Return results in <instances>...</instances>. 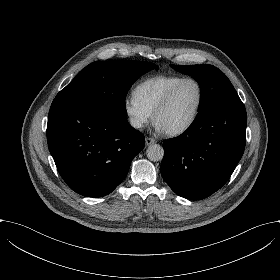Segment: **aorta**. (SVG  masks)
Wrapping results in <instances>:
<instances>
[{
  "label": "aorta",
  "instance_id": "obj_1",
  "mask_svg": "<svg viewBox=\"0 0 280 280\" xmlns=\"http://www.w3.org/2000/svg\"><path fill=\"white\" fill-rule=\"evenodd\" d=\"M146 153L150 161H160L163 159L164 149L159 144H153L147 148Z\"/></svg>",
  "mask_w": 280,
  "mask_h": 280
}]
</instances>
